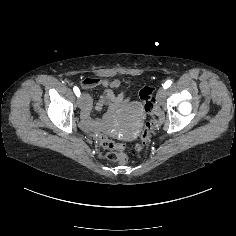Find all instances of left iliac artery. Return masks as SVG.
<instances>
[{
  "mask_svg": "<svg viewBox=\"0 0 236 236\" xmlns=\"http://www.w3.org/2000/svg\"><path fill=\"white\" fill-rule=\"evenodd\" d=\"M171 84H172V81H171V80H167V81L164 83V85H163L164 89H167L168 87H170Z\"/></svg>",
  "mask_w": 236,
  "mask_h": 236,
  "instance_id": "1",
  "label": "left iliac artery"
}]
</instances>
